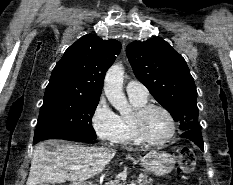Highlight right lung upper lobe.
<instances>
[{"label":"right lung upper lobe","instance_id":"right-lung-upper-lobe-1","mask_svg":"<svg viewBox=\"0 0 233 185\" xmlns=\"http://www.w3.org/2000/svg\"><path fill=\"white\" fill-rule=\"evenodd\" d=\"M117 40L87 34L64 53L52 71L45 93L62 92L99 98L106 71L120 53Z\"/></svg>","mask_w":233,"mask_h":185}]
</instances>
